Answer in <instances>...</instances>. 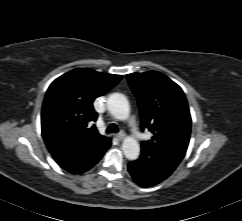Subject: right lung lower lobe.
Returning <instances> with one entry per match:
<instances>
[{
    "mask_svg": "<svg viewBox=\"0 0 242 221\" xmlns=\"http://www.w3.org/2000/svg\"><path fill=\"white\" fill-rule=\"evenodd\" d=\"M101 157H102V156H101ZM101 157H100V158H101ZM100 158H98L93 164H91V167H93V165H95V164L100 160ZM91 167H90V168H91ZM90 168H89V169H90ZM89 169H88V170H89ZM65 170H66V169H65ZM67 171L70 172V173H72V174H78V173H74V172H72V171H70V170H67ZM84 172H85V171H84ZM81 173H83V172H81Z\"/></svg>",
    "mask_w": 242,
    "mask_h": 221,
    "instance_id": "right-lung-lower-lobe-1",
    "label": "right lung lower lobe"
}]
</instances>
